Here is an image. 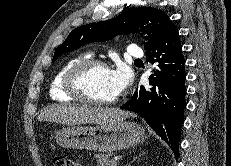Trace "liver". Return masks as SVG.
<instances>
[{"mask_svg": "<svg viewBox=\"0 0 231 166\" xmlns=\"http://www.w3.org/2000/svg\"><path fill=\"white\" fill-rule=\"evenodd\" d=\"M133 115L117 108L90 107L87 105L54 104L44 108L38 116V121H50L63 125H80L95 123L106 125Z\"/></svg>", "mask_w": 231, "mask_h": 166, "instance_id": "1", "label": "liver"}]
</instances>
